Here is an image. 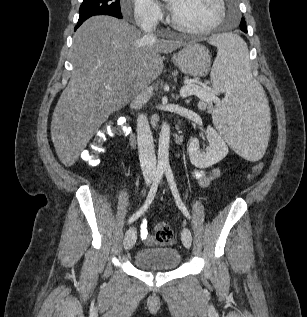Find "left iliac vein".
<instances>
[{"label": "left iliac vein", "mask_w": 307, "mask_h": 317, "mask_svg": "<svg viewBox=\"0 0 307 317\" xmlns=\"http://www.w3.org/2000/svg\"><path fill=\"white\" fill-rule=\"evenodd\" d=\"M181 238H182L183 245L186 248H190L192 243V234L188 228H184L182 230Z\"/></svg>", "instance_id": "4c4485c4"}]
</instances>
